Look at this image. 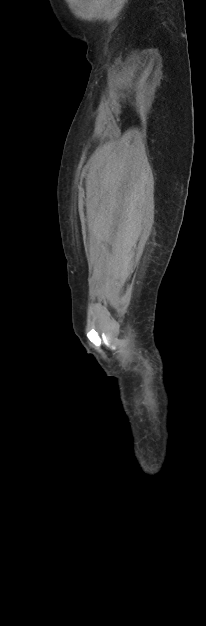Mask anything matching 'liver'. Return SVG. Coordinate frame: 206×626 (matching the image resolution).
<instances>
[{
	"instance_id": "6515ba94",
	"label": "liver",
	"mask_w": 206,
	"mask_h": 626,
	"mask_svg": "<svg viewBox=\"0 0 206 626\" xmlns=\"http://www.w3.org/2000/svg\"><path fill=\"white\" fill-rule=\"evenodd\" d=\"M88 213H89L90 217H92V218L94 217V213L90 209H88Z\"/></svg>"
}]
</instances>
